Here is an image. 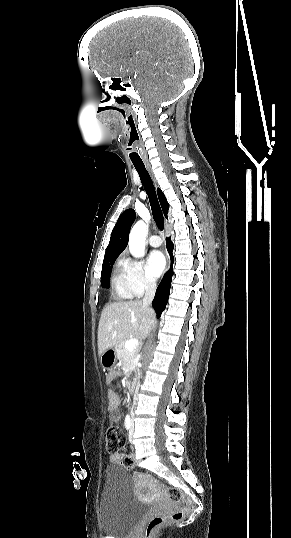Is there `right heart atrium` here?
Listing matches in <instances>:
<instances>
[{"label": "right heart atrium", "mask_w": 291, "mask_h": 538, "mask_svg": "<svg viewBox=\"0 0 291 538\" xmlns=\"http://www.w3.org/2000/svg\"><path fill=\"white\" fill-rule=\"evenodd\" d=\"M122 263L130 288L135 296H142L144 293L155 288L154 280L146 274L139 260L127 257L123 259Z\"/></svg>", "instance_id": "1"}]
</instances>
